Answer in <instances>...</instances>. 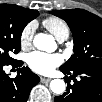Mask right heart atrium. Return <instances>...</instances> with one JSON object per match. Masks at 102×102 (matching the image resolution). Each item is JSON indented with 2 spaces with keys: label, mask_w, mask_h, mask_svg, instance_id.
<instances>
[{
  "label": "right heart atrium",
  "mask_w": 102,
  "mask_h": 102,
  "mask_svg": "<svg viewBox=\"0 0 102 102\" xmlns=\"http://www.w3.org/2000/svg\"><path fill=\"white\" fill-rule=\"evenodd\" d=\"M35 31V24L34 22L28 23L21 32V44L23 46H29L32 42L33 35Z\"/></svg>",
  "instance_id": "obj_1"
}]
</instances>
